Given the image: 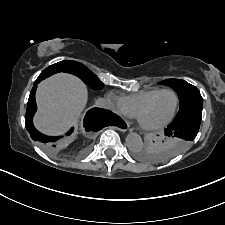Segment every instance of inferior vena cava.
Segmentation results:
<instances>
[{
    "label": "inferior vena cava",
    "instance_id": "inferior-vena-cava-1",
    "mask_svg": "<svg viewBox=\"0 0 225 225\" xmlns=\"http://www.w3.org/2000/svg\"><path fill=\"white\" fill-rule=\"evenodd\" d=\"M96 107L99 108H104V109H112L113 108V103L106 98H99L96 100Z\"/></svg>",
    "mask_w": 225,
    "mask_h": 225
}]
</instances>
